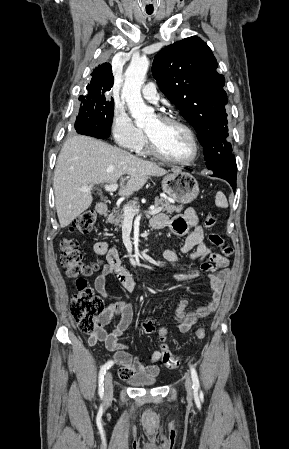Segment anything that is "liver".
I'll list each match as a JSON object with an SVG mask.
<instances>
[{
    "instance_id": "6515ba94",
    "label": "liver",
    "mask_w": 289,
    "mask_h": 449,
    "mask_svg": "<svg viewBox=\"0 0 289 449\" xmlns=\"http://www.w3.org/2000/svg\"><path fill=\"white\" fill-rule=\"evenodd\" d=\"M167 171L103 141L76 135L67 139L54 171L55 205L60 227L68 226L87 210L93 201L91 189H80L120 180L119 194L128 196L140 190L150 176Z\"/></svg>"
}]
</instances>
